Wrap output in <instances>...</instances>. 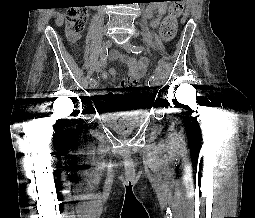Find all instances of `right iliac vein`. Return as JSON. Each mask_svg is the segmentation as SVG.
Listing matches in <instances>:
<instances>
[{"label": "right iliac vein", "mask_w": 255, "mask_h": 218, "mask_svg": "<svg viewBox=\"0 0 255 218\" xmlns=\"http://www.w3.org/2000/svg\"><path fill=\"white\" fill-rule=\"evenodd\" d=\"M111 45H112V40H111V39H108V40L105 42V48H110ZM90 86H91L92 89H96L97 86H98V84H97V82L95 81V82H93V83H90Z\"/></svg>", "instance_id": "right-iliac-vein-1"}]
</instances>
